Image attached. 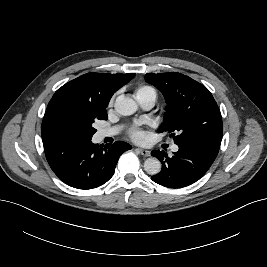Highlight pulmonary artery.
<instances>
[{
    "label": "pulmonary artery",
    "instance_id": "e3ab8cb5",
    "mask_svg": "<svg viewBox=\"0 0 267 267\" xmlns=\"http://www.w3.org/2000/svg\"><path fill=\"white\" fill-rule=\"evenodd\" d=\"M137 100H138V102L140 103V105L144 109L149 110L154 106L155 101H156V96L149 95V96H146V97H143V98H139ZM117 130H118L117 128L102 129V130H100L98 132V136L100 138H105V137H108V136H112V135L117 133ZM172 151L177 152L178 151V146L177 145H173L172 146Z\"/></svg>",
    "mask_w": 267,
    "mask_h": 267
}]
</instances>
